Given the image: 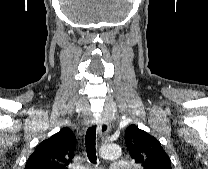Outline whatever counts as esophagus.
<instances>
[{
	"label": "esophagus",
	"instance_id": "34e87169",
	"mask_svg": "<svg viewBox=\"0 0 208 169\" xmlns=\"http://www.w3.org/2000/svg\"><path fill=\"white\" fill-rule=\"evenodd\" d=\"M98 134L100 137H104L108 134L110 130V123L107 119L105 118H99L98 120Z\"/></svg>",
	"mask_w": 208,
	"mask_h": 169
}]
</instances>
